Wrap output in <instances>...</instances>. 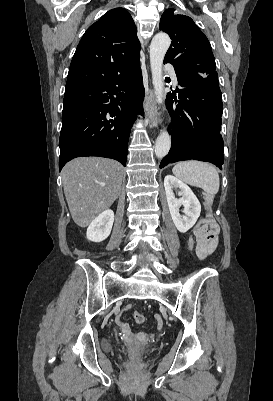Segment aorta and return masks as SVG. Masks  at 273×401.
Wrapping results in <instances>:
<instances>
[{"label": "aorta", "instance_id": "762f6f07", "mask_svg": "<svg viewBox=\"0 0 273 401\" xmlns=\"http://www.w3.org/2000/svg\"><path fill=\"white\" fill-rule=\"evenodd\" d=\"M171 44L170 37L165 33L156 34L150 45V67L152 72V83L159 104L163 102V60ZM171 148V137L167 131L160 132L155 143V155L158 158L166 156Z\"/></svg>", "mask_w": 273, "mask_h": 401}]
</instances>
